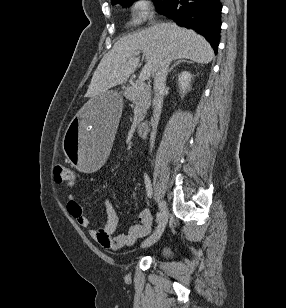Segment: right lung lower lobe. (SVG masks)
I'll use <instances>...</instances> for the list:
<instances>
[{
	"label": "right lung lower lobe",
	"instance_id": "1",
	"mask_svg": "<svg viewBox=\"0 0 286 308\" xmlns=\"http://www.w3.org/2000/svg\"><path fill=\"white\" fill-rule=\"evenodd\" d=\"M221 9L219 0H166L158 8V12L173 19L180 26L196 30L217 53Z\"/></svg>",
	"mask_w": 286,
	"mask_h": 308
}]
</instances>
